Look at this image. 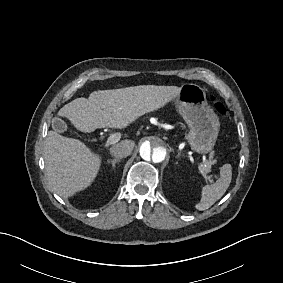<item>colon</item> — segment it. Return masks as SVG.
<instances>
[{"instance_id": "1", "label": "colon", "mask_w": 283, "mask_h": 283, "mask_svg": "<svg viewBox=\"0 0 283 283\" xmlns=\"http://www.w3.org/2000/svg\"><path fill=\"white\" fill-rule=\"evenodd\" d=\"M212 102L214 109L218 115L225 116L227 114L226 106L222 102L217 101L215 97H212Z\"/></svg>"}]
</instances>
